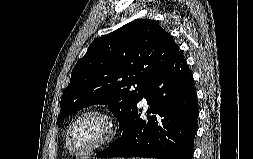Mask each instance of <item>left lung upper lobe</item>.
<instances>
[{"instance_id": "obj_1", "label": "left lung upper lobe", "mask_w": 253, "mask_h": 159, "mask_svg": "<svg viewBox=\"0 0 253 159\" xmlns=\"http://www.w3.org/2000/svg\"><path fill=\"white\" fill-rule=\"evenodd\" d=\"M178 51L173 38L149 19L134 20L94 40L63 92L58 126L77 110L108 104L122 127L146 85Z\"/></svg>"}]
</instances>
